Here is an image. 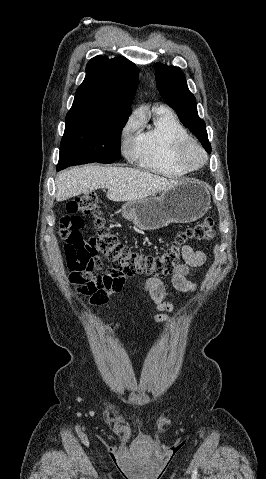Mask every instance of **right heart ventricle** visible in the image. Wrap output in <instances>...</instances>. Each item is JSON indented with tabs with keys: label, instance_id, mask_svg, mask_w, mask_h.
<instances>
[{
	"label": "right heart ventricle",
	"instance_id": "e07e8e85",
	"mask_svg": "<svg viewBox=\"0 0 266 479\" xmlns=\"http://www.w3.org/2000/svg\"><path fill=\"white\" fill-rule=\"evenodd\" d=\"M190 138L185 127L169 110H156L153 127L138 131L130 144L128 155L136 164L155 174L176 178L191 170L181 166L174 158L176 144Z\"/></svg>",
	"mask_w": 266,
	"mask_h": 479
}]
</instances>
